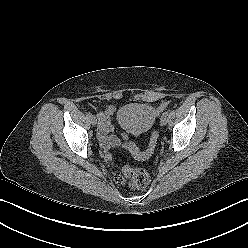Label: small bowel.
I'll return each instance as SVG.
<instances>
[{"instance_id":"c3829d8e","label":"small bowel","mask_w":248,"mask_h":248,"mask_svg":"<svg viewBox=\"0 0 248 248\" xmlns=\"http://www.w3.org/2000/svg\"><path fill=\"white\" fill-rule=\"evenodd\" d=\"M115 112L116 108L114 106H109L98 114L99 125L97 128V136L99 143L104 150H107L111 147L120 146L128 139V134L131 133L126 127L120 124L123 130L120 137L111 134L114 130L112 117L114 116Z\"/></svg>"}]
</instances>
